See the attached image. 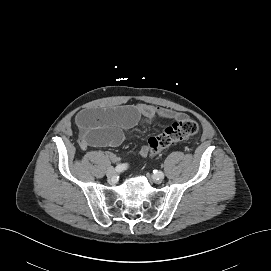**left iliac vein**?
<instances>
[{"instance_id":"1","label":"left iliac vein","mask_w":271,"mask_h":271,"mask_svg":"<svg viewBox=\"0 0 271 271\" xmlns=\"http://www.w3.org/2000/svg\"><path fill=\"white\" fill-rule=\"evenodd\" d=\"M164 177V176H163ZM163 177H159V176H153V181L155 182V183H161L162 182V180H163Z\"/></svg>"}]
</instances>
